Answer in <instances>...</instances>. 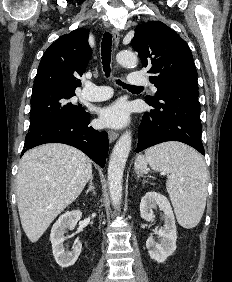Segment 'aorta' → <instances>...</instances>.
Returning a JSON list of instances; mask_svg holds the SVG:
<instances>
[{
    "mask_svg": "<svg viewBox=\"0 0 232 282\" xmlns=\"http://www.w3.org/2000/svg\"><path fill=\"white\" fill-rule=\"evenodd\" d=\"M118 64L124 67H135L137 55L128 50L120 51L116 55ZM132 135L126 131L116 142L108 165V185L112 204L118 206L122 199L123 172L131 150Z\"/></svg>",
    "mask_w": 232,
    "mask_h": 282,
    "instance_id": "obj_1",
    "label": "aorta"
}]
</instances>
